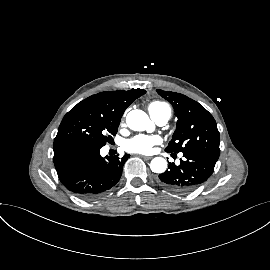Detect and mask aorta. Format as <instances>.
Wrapping results in <instances>:
<instances>
[{"label":"aorta","instance_id":"aorta-1","mask_svg":"<svg viewBox=\"0 0 270 270\" xmlns=\"http://www.w3.org/2000/svg\"><path fill=\"white\" fill-rule=\"evenodd\" d=\"M127 126L134 131L151 130L153 123L148 115L142 110H132L126 116ZM150 168L155 173H163L167 168V161L162 157L152 159Z\"/></svg>","mask_w":270,"mask_h":270}]
</instances>
